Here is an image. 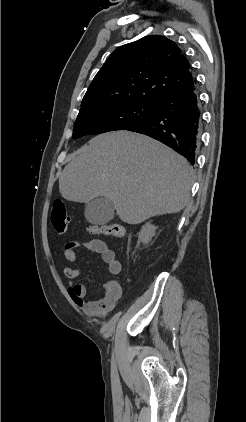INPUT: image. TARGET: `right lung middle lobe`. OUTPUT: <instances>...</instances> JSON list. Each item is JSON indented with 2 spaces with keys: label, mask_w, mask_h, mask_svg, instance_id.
Wrapping results in <instances>:
<instances>
[{
  "label": "right lung middle lobe",
  "mask_w": 246,
  "mask_h": 422,
  "mask_svg": "<svg viewBox=\"0 0 246 422\" xmlns=\"http://www.w3.org/2000/svg\"><path fill=\"white\" fill-rule=\"evenodd\" d=\"M156 104L135 98H119L81 107L77 116L73 138L131 126L154 116Z\"/></svg>",
  "instance_id": "dd1d6c3e"
}]
</instances>
